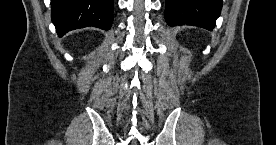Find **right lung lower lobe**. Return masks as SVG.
I'll use <instances>...</instances> for the list:
<instances>
[{"mask_svg":"<svg viewBox=\"0 0 276 145\" xmlns=\"http://www.w3.org/2000/svg\"><path fill=\"white\" fill-rule=\"evenodd\" d=\"M51 18L59 37L87 26L108 30L113 22V0H51Z\"/></svg>","mask_w":276,"mask_h":145,"instance_id":"98d812e1","label":"right lung lower lobe"}]
</instances>
